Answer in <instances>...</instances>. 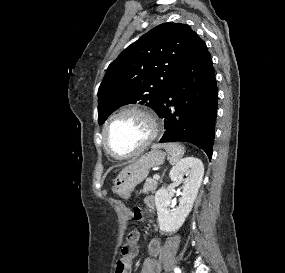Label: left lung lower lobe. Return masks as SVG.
<instances>
[{
    "mask_svg": "<svg viewBox=\"0 0 285 273\" xmlns=\"http://www.w3.org/2000/svg\"><path fill=\"white\" fill-rule=\"evenodd\" d=\"M218 90L212 59L194 32L183 61L156 112L166 131L160 142L184 141L212 157Z\"/></svg>",
    "mask_w": 285,
    "mask_h": 273,
    "instance_id": "left-lung-lower-lobe-1",
    "label": "left lung lower lobe"
}]
</instances>
